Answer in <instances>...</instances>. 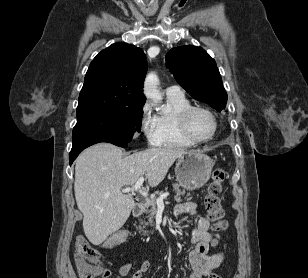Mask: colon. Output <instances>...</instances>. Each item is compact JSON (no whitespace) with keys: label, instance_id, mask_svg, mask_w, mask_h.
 <instances>
[{"label":"colon","instance_id":"1","mask_svg":"<svg viewBox=\"0 0 308 278\" xmlns=\"http://www.w3.org/2000/svg\"><path fill=\"white\" fill-rule=\"evenodd\" d=\"M226 174L221 169L214 170L212 181L208 187L207 194L204 199V205L208 212V216L214 221V229L223 232L227 229V222L223 219L224 211L221 205V194ZM128 236L127 230H119L114 235L105 240L103 245L107 247H115L118 243L123 242ZM75 262L80 278H98L103 269L100 262L99 251L94 248L85 237L78 236L75 243ZM209 278H220L216 274H212Z\"/></svg>","mask_w":308,"mask_h":278}]
</instances>
